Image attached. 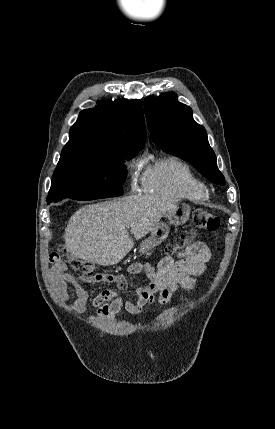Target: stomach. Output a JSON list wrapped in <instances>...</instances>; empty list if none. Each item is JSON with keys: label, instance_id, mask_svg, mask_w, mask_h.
I'll list each match as a JSON object with an SVG mask.
<instances>
[{"label": "stomach", "instance_id": "1", "mask_svg": "<svg viewBox=\"0 0 275 429\" xmlns=\"http://www.w3.org/2000/svg\"><path fill=\"white\" fill-rule=\"evenodd\" d=\"M191 208L186 203H176L174 208L165 214L169 224L182 225L190 216ZM170 232V227L165 222H159L150 233V236L145 239L140 245V252L145 253L152 248L158 246L164 241Z\"/></svg>", "mask_w": 275, "mask_h": 429}]
</instances>
